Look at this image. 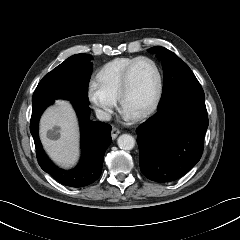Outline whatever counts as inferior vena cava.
Segmentation results:
<instances>
[{"label": "inferior vena cava", "instance_id": "1", "mask_svg": "<svg viewBox=\"0 0 240 240\" xmlns=\"http://www.w3.org/2000/svg\"><path fill=\"white\" fill-rule=\"evenodd\" d=\"M95 113L96 117L101 121H109L111 119V115L104 110L96 109Z\"/></svg>", "mask_w": 240, "mask_h": 240}]
</instances>
